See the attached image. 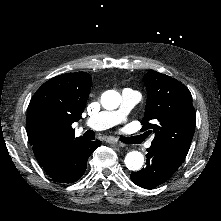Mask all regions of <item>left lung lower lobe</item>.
<instances>
[{
    "mask_svg": "<svg viewBox=\"0 0 221 221\" xmlns=\"http://www.w3.org/2000/svg\"><path fill=\"white\" fill-rule=\"evenodd\" d=\"M146 167L130 175L131 180L145 189H154L166 182L179 168L168 154L160 148L151 146L147 149Z\"/></svg>",
    "mask_w": 221,
    "mask_h": 221,
    "instance_id": "1",
    "label": "left lung lower lobe"
}]
</instances>
